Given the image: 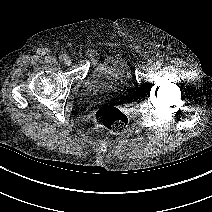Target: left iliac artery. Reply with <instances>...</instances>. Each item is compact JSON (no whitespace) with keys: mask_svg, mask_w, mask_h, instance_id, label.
I'll list each match as a JSON object with an SVG mask.
<instances>
[{"mask_svg":"<svg viewBox=\"0 0 212 212\" xmlns=\"http://www.w3.org/2000/svg\"><path fill=\"white\" fill-rule=\"evenodd\" d=\"M161 65H162V63H161V62H159V61H157V62L155 63V67H156V68H160V67H161Z\"/></svg>","mask_w":212,"mask_h":212,"instance_id":"1","label":"left iliac artery"}]
</instances>
